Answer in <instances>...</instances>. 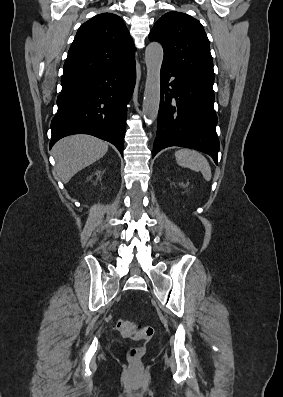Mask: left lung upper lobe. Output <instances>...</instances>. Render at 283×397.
Here are the masks:
<instances>
[{
  "instance_id": "5c2ea615",
  "label": "left lung upper lobe",
  "mask_w": 283,
  "mask_h": 397,
  "mask_svg": "<svg viewBox=\"0 0 283 397\" xmlns=\"http://www.w3.org/2000/svg\"><path fill=\"white\" fill-rule=\"evenodd\" d=\"M148 37L150 41L162 44L163 63L213 89L214 71L209 40L197 19L170 11L155 23Z\"/></svg>"
}]
</instances>
